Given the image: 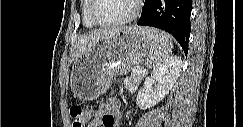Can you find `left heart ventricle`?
Returning <instances> with one entry per match:
<instances>
[{"mask_svg": "<svg viewBox=\"0 0 243 127\" xmlns=\"http://www.w3.org/2000/svg\"><path fill=\"white\" fill-rule=\"evenodd\" d=\"M133 8V0H97L95 14L100 20L114 21L128 16Z\"/></svg>", "mask_w": 243, "mask_h": 127, "instance_id": "left-heart-ventricle-1", "label": "left heart ventricle"}]
</instances>
